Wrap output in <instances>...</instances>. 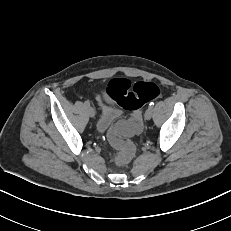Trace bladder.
I'll use <instances>...</instances> for the list:
<instances>
[{"instance_id": "1", "label": "bladder", "mask_w": 231, "mask_h": 231, "mask_svg": "<svg viewBox=\"0 0 231 231\" xmlns=\"http://www.w3.org/2000/svg\"><path fill=\"white\" fill-rule=\"evenodd\" d=\"M118 117L119 113L115 109L107 106H101L96 121V129L98 133H105Z\"/></svg>"}]
</instances>
